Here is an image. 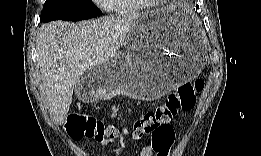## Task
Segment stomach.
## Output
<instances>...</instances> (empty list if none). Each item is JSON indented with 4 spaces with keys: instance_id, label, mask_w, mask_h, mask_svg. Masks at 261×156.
Instances as JSON below:
<instances>
[{
    "instance_id": "stomach-1",
    "label": "stomach",
    "mask_w": 261,
    "mask_h": 156,
    "mask_svg": "<svg viewBox=\"0 0 261 156\" xmlns=\"http://www.w3.org/2000/svg\"><path fill=\"white\" fill-rule=\"evenodd\" d=\"M126 42L127 53H116L79 79L89 86L91 99L119 94L157 99L196 78L207 58L193 17L177 5L141 15Z\"/></svg>"
}]
</instances>
